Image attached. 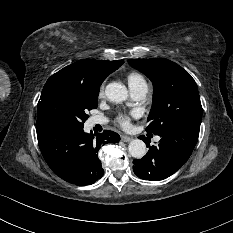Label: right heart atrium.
I'll return each mask as SVG.
<instances>
[{
    "label": "right heart atrium",
    "mask_w": 233,
    "mask_h": 233,
    "mask_svg": "<svg viewBox=\"0 0 233 233\" xmlns=\"http://www.w3.org/2000/svg\"><path fill=\"white\" fill-rule=\"evenodd\" d=\"M103 90H104V86L102 85V86L100 87V95L103 94Z\"/></svg>",
    "instance_id": "obj_1"
}]
</instances>
